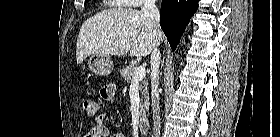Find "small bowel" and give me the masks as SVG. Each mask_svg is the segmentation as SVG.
<instances>
[{
    "label": "small bowel",
    "instance_id": "small-bowel-1",
    "mask_svg": "<svg viewBox=\"0 0 280 137\" xmlns=\"http://www.w3.org/2000/svg\"><path fill=\"white\" fill-rule=\"evenodd\" d=\"M104 92L115 95L116 85L114 83L105 85L101 89L102 96ZM105 117H106V113H101L96 117L94 123L91 125L90 129L88 130L86 137H88L91 133H97L99 134V137H123V135L120 133L113 134L112 136L109 135V130L104 124Z\"/></svg>",
    "mask_w": 280,
    "mask_h": 137
}]
</instances>
